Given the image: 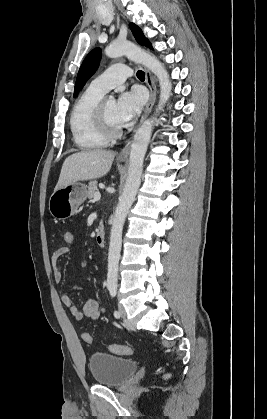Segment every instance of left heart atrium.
Masks as SVG:
<instances>
[{
    "label": "left heart atrium",
    "mask_w": 267,
    "mask_h": 419,
    "mask_svg": "<svg viewBox=\"0 0 267 419\" xmlns=\"http://www.w3.org/2000/svg\"><path fill=\"white\" fill-rule=\"evenodd\" d=\"M144 104V95L138 89L123 92L116 102V117L123 127L131 123L140 113Z\"/></svg>",
    "instance_id": "obj_1"
}]
</instances>
